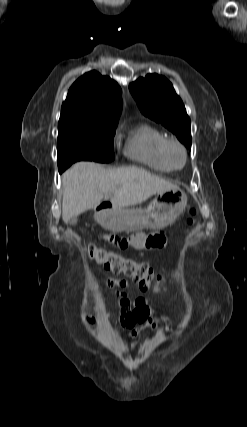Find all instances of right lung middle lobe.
<instances>
[{
  "instance_id": "dd1d6c3e",
  "label": "right lung middle lobe",
  "mask_w": 247,
  "mask_h": 427,
  "mask_svg": "<svg viewBox=\"0 0 247 427\" xmlns=\"http://www.w3.org/2000/svg\"><path fill=\"white\" fill-rule=\"evenodd\" d=\"M117 124H100L74 115L58 122V167L62 172L79 160L111 162L115 155L113 137Z\"/></svg>"
}]
</instances>
